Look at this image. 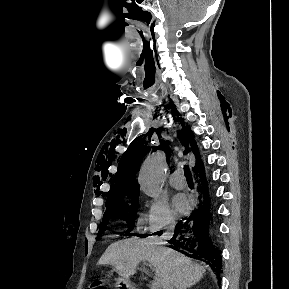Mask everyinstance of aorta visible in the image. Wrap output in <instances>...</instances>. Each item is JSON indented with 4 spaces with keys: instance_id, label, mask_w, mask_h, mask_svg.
I'll use <instances>...</instances> for the list:
<instances>
[{
    "instance_id": "762f6f07",
    "label": "aorta",
    "mask_w": 289,
    "mask_h": 289,
    "mask_svg": "<svg viewBox=\"0 0 289 289\" xmlns=\"http://www.w3.org/2000/svg\"><path fill=\"white\" fill-rule=\"evenodd\" d=\"M166 169L165 154L161 151L149 156L140 169L138 182L141 191L151 197H157L163 187Z\"/></svg>"
}]
</instances>
